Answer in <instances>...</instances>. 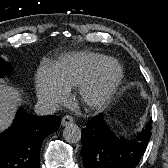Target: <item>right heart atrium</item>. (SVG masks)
<instances>
[{"label":"right heart atrium","instance_id":"d8ad5b80","mask_svg":"<svg viewBox=\"0 0 168 168\" xmlns=\"http://www.w3.org/2000/svg\"><path fill=\"white\" fill-rule=\"evenodd\" d=\"M36 92L38 99L49 107L63 102L67 97V90L54 78L49 68L42 67L36 76Z\"/></svg>","mask_w":168,"mask_h":168}]
</instances>
